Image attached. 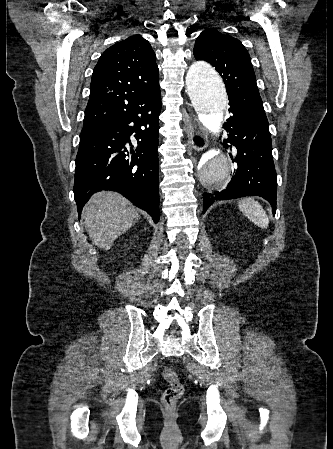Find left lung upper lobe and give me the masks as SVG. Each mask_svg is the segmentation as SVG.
<instances>
[{
	"label": "left lung upper lobe",
	"mask_w": 333,
	"mask_h": 449,
	"mask_svg": "<svg viewBox=\"0 0 333 449\" xmlns=\"http://www.w3.org/2000/svg\"><path fill=\"white\" fill-rule=\"evenodd\" d=\"M197 60L209 62L219 72L230 100L266 116L248 51L242 43L216 29H206L193 49Z\"/></svg>",
	"instance_id": "1"
}]
</instances>
